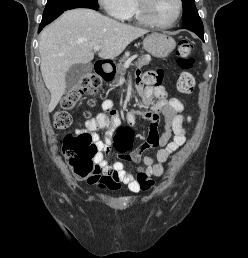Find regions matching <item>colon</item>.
Wrapping results in <instances>:
<instances>
[{
    "label": "colon",
    "instance_id": "obj_1",
    "mask_svg": "<svg viewBox=\"0 0 248 258\" xmlns=\"http://www.w3.org/2000/svg\"><path fill=\"white\" fill-rule=\"evenodd\" d=\"M193 45L188 40H181L177 49V64L183 70L193 67L195 59L192 55ZM163 74L160 70H149L144 75V81L151 86L161 83ZM101 85V79L95 74L84 76L70 92L63 97L60 109L53 117L54 127L66 129L72 123L69 110L72 109L83 95L92 96L97 93ZM195 87V79L188 71H183L177 79V89L182 94H191ZM190 121V118L187 119ZM131 130L122 127L115 136L117 150L121 155H125L131 145ZM62 152L67 159L73 173L79 179L99 180L100 169L94 164L98 149L91 135L87 132L69 134L63 138Z\"/></svg>",
    "mask_w": 248,
    "mask_h": 258
}]
</instances>
